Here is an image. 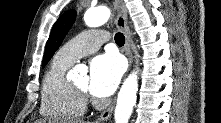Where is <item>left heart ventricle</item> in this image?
Listing matches in <instances>:
<instances>
[{
	"mask_svg": "<svg viewBox=\"0 0 221 123\" xmlns=\"http://www.w3.org/2000/svg\"><path fill=\"white\" fill-rule=\"evenodd\" d=\"M77 87L83 90H89V76L83 75L77 78L74 83Z\"/></svg>",
	"mask_w": 221,
	"mask_h": 123,
	"instance_id": "b2bd125f",
	"label": "left heart ventricle"
}]
</instances>
